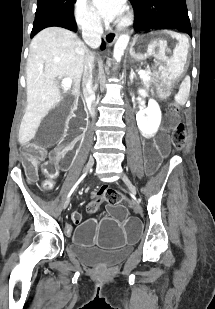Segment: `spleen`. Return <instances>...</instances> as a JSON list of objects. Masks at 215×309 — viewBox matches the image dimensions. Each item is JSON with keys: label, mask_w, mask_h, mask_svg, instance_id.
<instances>
[{"label": "spleen", "mask_w": 215, "mask_h": 309, "mask_svg": "<svg viewBox=\"0 0 215 309\" xmlns=\"http://www.w3.org/2000/svg\"><path fill=\"white\" fill-rule=\"evenodd\" d=\"M187 80H188V84H190V80H189V76H186L184 82H182L181 86H184V84H187ZM175 100L176 102H178V104H185L186 100H187V96H182V92L181 90H179L178 94H176L175 96Z\"/></svg>", "instance_id": "spleen-1"}]
</instances>
